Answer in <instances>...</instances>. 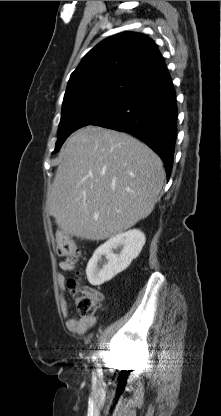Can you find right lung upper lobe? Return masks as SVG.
I'll return each mask as SVG.
<instances>
[{"label":"right lung upper lobe","mask_w":221,"mask_h":416,"mask_svg":"<svg viewBox=\"0 0 221 416\" xmlns=\"http://www.w3.org/2000/svg\"><path fill=\"white\" fill-rule=\"evenodd\" d=\"M164 59L149 37L124 32L108 37L82 59L69 79L64 102L102 89L134 91L162 82Z\"/></svg>","instance_id":"cb5924a9"}]
</instances>
